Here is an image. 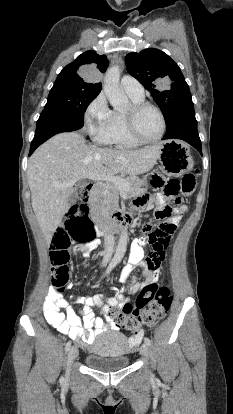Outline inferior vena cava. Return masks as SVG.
<instances>
[{"mask_svg": "<svg viewBox=\"0 0 233 414\" xmlns=\"http://www.w3.org/2000/svg\"><path fill=\"white\" fill-rule=\"evenodd\" d=\"M115 233L114 232H105L104 233V242L101 245V250H105V258L103 262H108L109 258L112 257L113 253V243H114Z\"/></svg>", "mask_w": 233, "mask_h": 414, "instance_id": "1", "label": "inferior vena cava"}]
</instances>
